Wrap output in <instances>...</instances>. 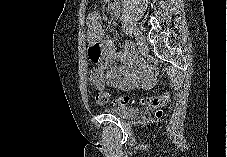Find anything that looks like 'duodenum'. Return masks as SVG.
Wrapping results in <instances>:
<instances>
[{"label":"duodenum","mask_w":227,"mask_h":157,"mask_svg":"<svg viewBox=\"0 0 227 157\" xmlns=\"http://www.w3.org/2000/svg\"><path fill=\"white\" fill-rule=\"evenodd\" d=\"M110 5L113 10V12L118 15L120 13V9L118 6V0H110Z\"/></svg>","instance_id":"duodenum-1"}]
</instances>
